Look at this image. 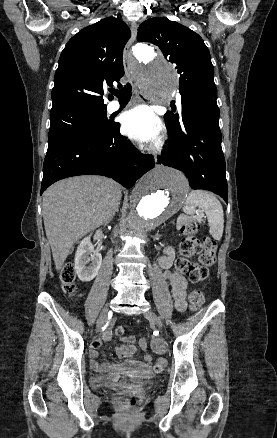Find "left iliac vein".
<instances>
[{
    "label": "left iliac vein",
    "mask_w": 277,
    "mask_h": 438,
    "mask_svg": "<svg viewBox=\"0 0 277 438\" xmlns=\"http://www.w3.org/2000/svg\"><path fill=\"white\" fill-rule=\"evenodd\" d=\"M145 317L153 324H155L158 328H162V322L160 318L152 311H148L145 313Z\"/></svg>",
    "instance_id": "1"
}]
</instances>
